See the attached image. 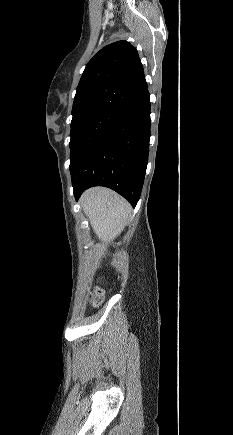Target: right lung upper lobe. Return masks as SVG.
Wrapping results in <instances>:
<instances>
[{
    "label": "right lung upper lobe",
    "mask_w": 233,
    "mask_h": 435,
    "mask_svg": "<svg viewBox=\"0 0 233 435\" xmlns=\"http://www.w3.org/2000/svg\"><path fill=\"white\" fill-rule=\"evenodd\" d=\"M147 93L137 50L129 42L118 41L105 46L87 63L77 87L72 115L100 110L124 114Z\"/></svg>",
    "instance_id": "1"
}]
</instances>
